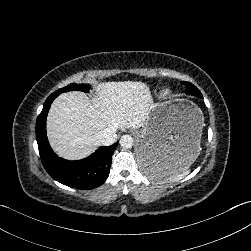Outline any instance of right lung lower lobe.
I'll return each instance as SVG.
<instances>
[{
    "instance_id": "98d812e1",
    "label": "right lung lower lobe",
    "mask_w": 251,
    "mask_h": 251,
    "mask_svg": "<svg viewBox=\"0 0 251 251\" xmlns=\"http://www.w3.org/2000/svg\"><path fill=\"white\" fill-rule=\"evenodd\" d=\"M57 96L54 92L47 98L36 122V139L42 164L53 179L66 186L86 190L96 188L103 184L109 175L112 154L118 142L100 147L82 160L68 161L58 157L51 149L46 136L47 114Z\"/></svg>"
}]
</instances>
